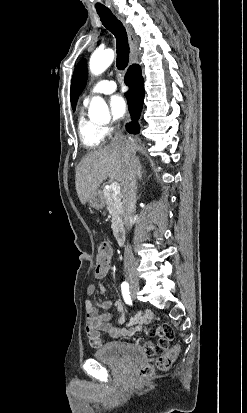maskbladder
Wrapping results in <instances>:
<instances>
[{"mask_svg": "<svg viewBox=\"0 0 247 413\" xmlns=\"http://www.w3.org/2000/svg\"><path fill=\"white\" fill-rule=\"evenodd\" d=\"M141 348L119 342L106 343L95 352V358L109 363L126 364L137 358H144Z\"/></svg>", "mask_w": 247, "mask_h": 413, "instance_id": "bladder-1", "label": "bladder"}]
</instances>
